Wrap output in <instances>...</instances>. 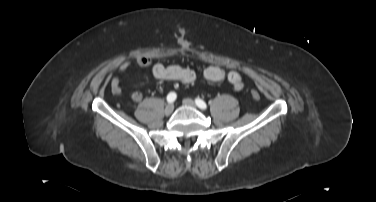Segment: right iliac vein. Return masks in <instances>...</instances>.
<instances>
[{"label": "right iliac vein", "mask_w": 376, "mask_h": 202, "mask_svg": "<svg viewBox=\"0 0 376 202\" xmlns=\"http://www.w3.org/2000/svg\"><path fill=\"white\" fill-rule=\"evenodd\" d=\"M173 110H174V105L173 104H168L165 107L164 113H165V115L168 116V115L172 114Z\"/></svg>", "instance_id": "1"}]
</instances>
